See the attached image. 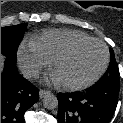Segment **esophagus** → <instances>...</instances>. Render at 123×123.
<instances>
[{
    "label": "esophagus",
    "instance_id": "34e87169",
    "mask_svg": "<svg viewBox=\"0 0 123 123\" xmlns=\"http://www.w3.org/2000/svg\"><path fill=\"white\" fill-rule=\"evenodd\" d=\"M48 94H50V91H49V90L41 89V90L39 91V96H40V98H43V97H45V96L48 95Z\"/></svg>",
    "mask_w": 123,
    "mask_h": 123
}]
</instances>
